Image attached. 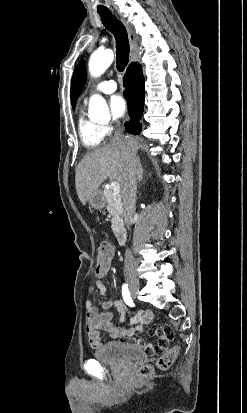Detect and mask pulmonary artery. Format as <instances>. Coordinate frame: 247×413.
Returning a JSON list of instances; mask_svg holds the SVG:
<instances>
[{"mask_svg": "<svg viewBox=\"0 0 247 413\" xmlns=\"http://www.w3.org/2000/svg\"><path fill=\"white\" fill-rule=\"evenodd\" d=\"M117 89V83L114 79H108V80H100L97 82L93 90L105 94H110L114 92Z\"/></svg>", "mask_w": 247, "mask_h": 413, "instance_id": "pulmonary-artery-1", "label": "pulmonary artery"}]
</instances>
